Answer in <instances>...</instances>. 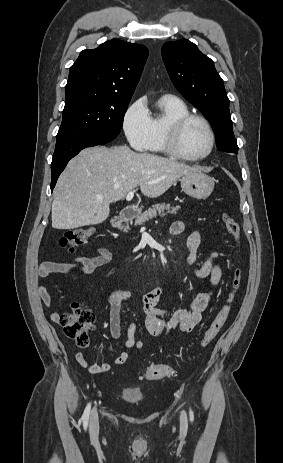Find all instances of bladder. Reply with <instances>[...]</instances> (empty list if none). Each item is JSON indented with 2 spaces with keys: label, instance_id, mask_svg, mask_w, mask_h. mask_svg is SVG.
Segmentation results:
<instances>
[{
  "label": "bladder",
  "instance_id": "bladder-1",
  "mask_svg": "<svg viewBox=\"0 0 283 463\" xmlns=\"http://www.w3.org/2000/svg\"><path fill=\"white\" fill-rule=\"evenodd\" d=\"M121 398L129 403H137L144 399V393L139 388L124 387L121 391Z\"/></svg>",
  "mask_w": 283,
  "mask_h": 463
}]
</instances>
